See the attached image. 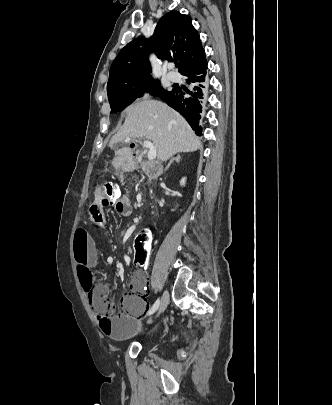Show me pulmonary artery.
<instances>
[{"label":"pulmonary artery","mask_w":332,"mask_h":405,"mask_svg":"<svg viewBox=\"0 0 332 405\" xmlns=\"http://www.w3.org/2000/svg\"><path fill=\"white\" fill-rule=\"evenodd\" d=\"M167 77L170 81L177 82L180 80V77L175 72H168Z\"/></svg>","instance_id":"1"}]
</instances>
